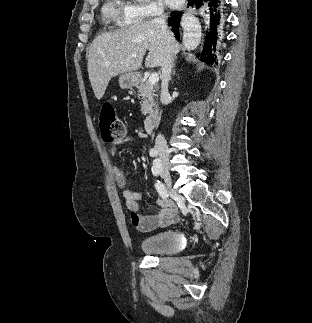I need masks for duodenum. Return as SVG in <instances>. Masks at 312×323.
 I'll return each instance as SVG.
<instances>
[{"instance_id":"duodenum-1","label":"duodenum","mask_w":312,"mask_h":323,"mask_svg":"<svg viewBox=\"0 0 312 323\" xmlns=\"http://www.w3.org/2000/svg\"><path fill=\"white\" fill-rule=\"evenodd\" d=\"M131 82L135 86H140L142 84V77L139 74H134L131 77ZM158 120L157 112L150 113L144 120V130L147 134H150Z\"/></svg>"}]
</instances>
